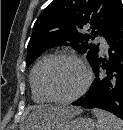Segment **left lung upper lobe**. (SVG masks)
I'll return each mask as SVG.
<instances>
[{
  "label": "left lung upper lobe",
  "mask_w": 123,
  "mask_h": 130,
  "mask_svg": "<svg viewBox=\"0 0 123 130\" xmlns=\"http://www.w3.org/2000/svg\"><path fill=\"white\" fill-rule=\"evenodd\" d=\"M123 16L120 0H53L37 18L27 47L26 65H30L47 48L69 45L87 54L91 63L99 46L89 44L98 34L105 39ZM87 26L90 34L81 29Z\"/></svg>",
  "instance_id": "1"
}]
</instances>
